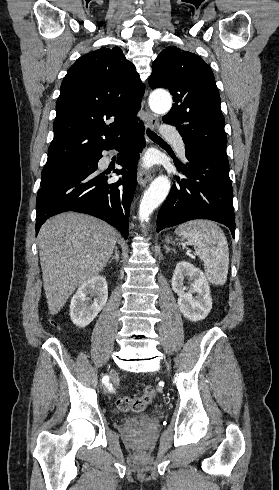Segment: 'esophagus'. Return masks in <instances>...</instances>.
Listing matches in <instances>:
<instances>
[{"label": "esophagus", "instance_id": "esophagus-1", "mask_svg": "<svg viewBox=\"0 0 279 490\" xmlns=\"http://www.w3.org/2000/svg\"><path fill=\"white\" fill-rule=\"evenodd\" d=\"M148 126L154 130L158 124V117L153 113L148 111ZM152 176L148 168L144 166H140L137 172V181L139 185L145 186L148 182H150Z\"/></svg>", "mask_w": 279, "mask_h": 490}]
</instances>
